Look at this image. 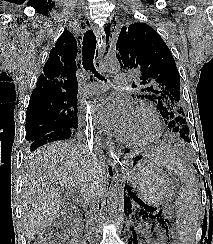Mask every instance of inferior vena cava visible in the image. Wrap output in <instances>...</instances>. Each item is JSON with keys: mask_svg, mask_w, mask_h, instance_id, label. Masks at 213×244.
<instances>
[{"mask_svg": "<svg viewBox=\"0 0 213 244\" xmlns=\"http://www.w3.org/2000/svg\"><path fill=\"white\" fill-rule=\"evenodd\" d=\"M89 150V149H88ZM97 151V150H96ZM90 153H93V150H89ZM96 200L91 198H86L84 202V207L86 209L87 214L90 216L93 214V211L91 210V207L94 205Z\"/></svg>", "mask_w": 213, "mask_h": 244, "instance_id": "1", "label": "inferior vena cava"}]
</instances>
